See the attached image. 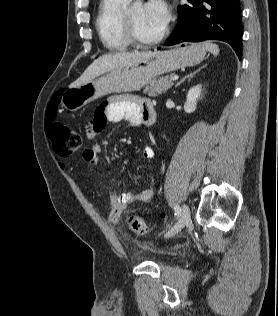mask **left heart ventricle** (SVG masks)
<instances>
[{
	"mask_svg": "<svg viewBox=\"0 0 278 316\" xmlns=\"http://www.w3.org/2000/svg\"><path fill=\"white\" fill-rule=\"evenodd\" d=\"M128 13L138 35L143 39H152L158 36L164 29L148 18L144 5L135 6Z\"/></svg>",
	"mask_w": 278,
	"mask_h": 316,
	"instance_id": "left-heart-ventricle-1",
	"label": "left heart ventricle"
}]
</instances>
